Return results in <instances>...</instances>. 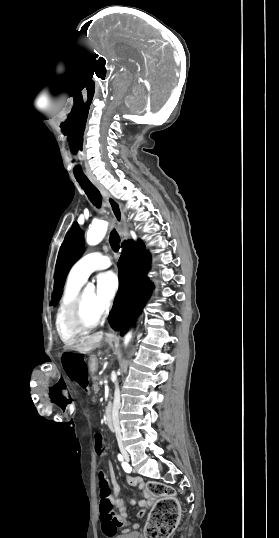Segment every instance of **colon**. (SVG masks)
Instances as JSON below:
<instances>
[{
    "instance_id": "5ec220e1",
    "label": "colon",
    "mask_w": 279,
    "mask_h": 538,
    "mask_svg": "<svg viewBox=\"0 0 279 538\" xmlns=\"http://www.w3.org/2000/svg\"><path fill=\"white\" fill-rule=\"evenodd\" d=\"M95 450L99 455L106 451L104 438L100 433L95 435ZM98 486L100 496V511L103 517L114 516L113 504L110 499V488L104 472L98 474ZM149 492L157 498L145 528L146 538H167L176 528L180 507L175 497V490L163 483L151 482L148 484Z\"/></svg>"
}]
</instances>
